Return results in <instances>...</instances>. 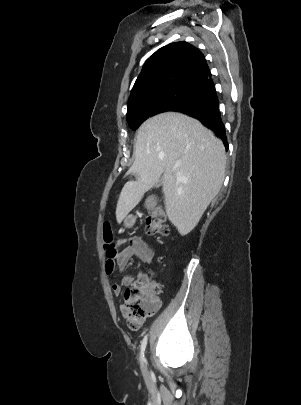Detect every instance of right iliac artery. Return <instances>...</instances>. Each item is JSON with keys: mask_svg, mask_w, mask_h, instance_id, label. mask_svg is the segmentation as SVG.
Returning a JSON list of instances; mask_svg holds the SVG:
<instances>
[{"mask_svg": "<svg viewBox=\"0 0 301 405\" xmlns=\"http://www.w3.org/2000/svg\"><path fill=\"white\" fill-rule=\"evenodd\" d=\"M146 345H147V335L141 341V357H140V360H141L142 367H144V361H145L144 351H145Z\"/></svg>", "mask_w": 301, "mask_h": 405, "instance_id": "1", "label": "right iliac artery"}]
</instances>
